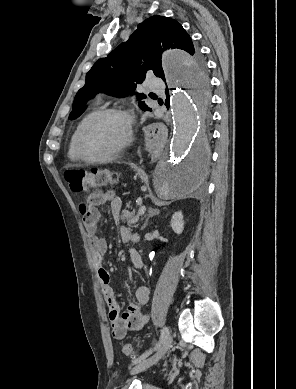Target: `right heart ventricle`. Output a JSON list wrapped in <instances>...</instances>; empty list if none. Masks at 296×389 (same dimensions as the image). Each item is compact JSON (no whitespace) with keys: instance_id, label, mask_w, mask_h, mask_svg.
<instances>
[{"instance_id":"right-heart-ventricle-1","label":"right heart ventricle","mask_w":296,"mask_h":389,"mask_svg":"<svg viewBox=\"0 0 296 389\" xmlns=\"http://www.w3.org/2000/svg\"><path fill=\"white\" fill-rule=\"evenodd\" d=\"M96 111H97V107L95 105L85 116H83V118L77 124V126H76V128L71 136V139L69 142V147H68V157L70 160L79 161L80 158L78 157L77 152H76V138H77L78 130L81 127V125L85 122V120L87 118H89Z\"/></svg>"}]
</instances>
